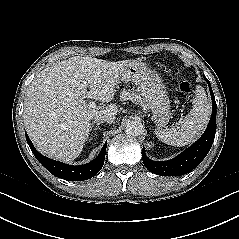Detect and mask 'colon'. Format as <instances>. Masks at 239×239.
Returning <instances> with one entry per match:
<instances>
[{"label": "colon", "mask_w": 239, "mask_h": 239, "mask_svg": "<svg viewBox=\"0 0 239 239\" xmlns=\"http://www.w3.org/2000/svg\"><path fill=\"white\" fill-rule=\"evenodd\" d=\"M180 90L185 94H190L192 92V85L187 81L181 82Z\"/></svg>", "instance_id": "colon-1"}]
</instances>
